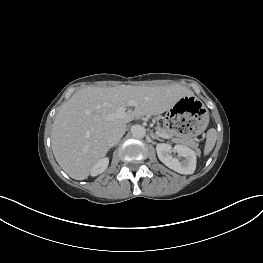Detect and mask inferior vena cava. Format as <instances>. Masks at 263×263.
<instances>
[{"label":"inferior vena cava","instance_id":"inferior-vena-cava-1","mask_svg":"<svg viewBox=\"0 0 263 263\" xmlns=\"http://www.w3.org/2000/svg\"><path fill=\"white\" fill-rule=\"evenodd\" d=\"M125 131H126V126L122 128H116L113 131H111L107 138V145L109 147L116 145L121 139V137L124 135Z\"/></svg>","mask_w":263,"mask_h":263}]
</instances>
